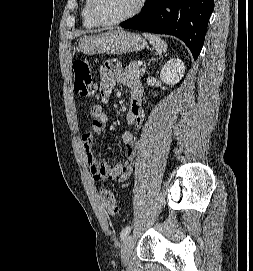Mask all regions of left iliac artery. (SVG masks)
I'll list each match as a JSON object with an SVG mask.
<instances>
[{
	"label": "left iliac artery",
	"mask_w": 253,
	"mask_h": 271,
	"mask_svg": "<svg viewBox=\"0 0 253 271\" xmlns=\"http://www.w3.org/2000/svg\"><path fill=\"white\" fill-rule=\"evenodd\" d=\"M131 231V226H126L120 233V238L125 239Z\"/></svg>",
	"instance_id": "1"
}]
</instances>
